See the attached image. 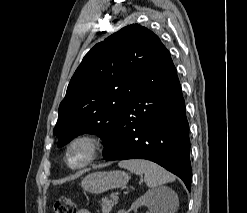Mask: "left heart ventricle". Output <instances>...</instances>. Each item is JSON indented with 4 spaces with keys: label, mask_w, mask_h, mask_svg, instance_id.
Instances as JSON below:
<instances>
[{
    "label": "left heart ventricle",
    "mask_w": 247,
    "mask_h": 213,
    "mask_svg": "<svg viewBox=\"0 0 247 213\" xmlns=\"http://www.w3.org/2000/svg\"><path fill=\"white\" fill-rule=\"evenodd\" d=\"M86 155V149L83 146L74 148L70 153V160L73 164L80 163Z\"/></svg>",
    "instance_id": "left-heart-ventricle-1"
}]
</instances>
